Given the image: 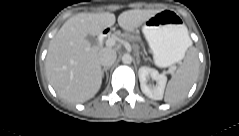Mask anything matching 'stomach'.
<instances>
[{"mask_svg": "<svg viewBox=\"0 0 239 136\" xmlns=\"http://www.w3.org/2000/svg\"><path fill=\"white\" fill-rule=\"evenodd\" d=\"M142 31L157 66L168 67L184 58L189 47V35L177 13L159 11L143 23Z\"/></svg>", "mask_w": 239, "mask_h": 136, "instance_id": "1", "label": "stomach"}]
</instances>
